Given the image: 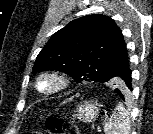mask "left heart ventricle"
Here are the masks:
<instances>
[{"instance_id": "obj_1", "label": "left heart ventricle", "mask_w": 153, "mask_h": 134, "mask_svg": "<svg viewBox=\"0 0 153 134\" xmlns=\"http://www.w3.org/2000/svg\"><path fill=\"white\" fill-rule=\"evenodd\" d=\"M40 86L42 89H49L53 86V82L51 80H43Z\"/></svg>"}]
</instances>
